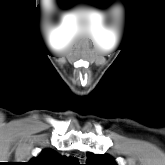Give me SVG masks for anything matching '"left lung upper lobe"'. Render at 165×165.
Listing matches in <instances>:
<instances>
[{
	"label": "left lung upper lobe",
	"instance_id": "obj_1",
	"mask_svg": "<svg viewBox=\"0 0 165 165\" xmlns=\"http://www.w3.org/2000/svg\"><path fill=\"white\" fill-rule=\"evenodd\" d=\"M87 165H118L108 154H93L88 152Z\"/></svg>",
	"mask_w": 165,
	"mask_h": 165
}]
</instances>
